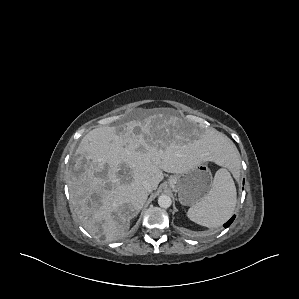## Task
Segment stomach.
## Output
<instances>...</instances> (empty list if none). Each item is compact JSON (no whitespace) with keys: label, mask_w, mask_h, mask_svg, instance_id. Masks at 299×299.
Listing matches in <instances>:
<instances>
[{"label":"stomach","mask_w":299,"mask_h":299,"mask_svg":"<svg viewBox=\"0 0 299 299\" xmlns=\"http://www.w3.org/2000/svg\"><path fill=\"white\" fill-rule=\"evenodd\" d=\"M212 183L211 171L205 163L169 177V187L178 193L179 202L185 206L195 205L204 199Z\"/></svg>","instance_id":"0dacf381"}]
</instances>
